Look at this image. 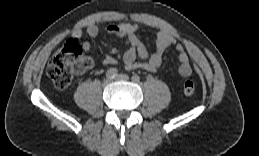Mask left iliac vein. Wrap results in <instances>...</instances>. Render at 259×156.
Segmentation results:
<instances>
[{
  "label": "left iliac vein",
  "mask_w": 259,
  "mask_h": 156,
  "mask_svg": "<svg viewBox=\"0 0 259 156\" xmlns=\"http://www.w3.org/2000/svg\"><path fill=\"white\" fill-rule=\"evenodd\" d=\"M116 80H124V81H127L129 79V77L125 74H119L116 76L115 78Z\"/></svg>",
  "instance_id": "obj_1"
}]
</instances>
